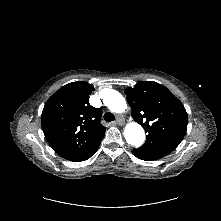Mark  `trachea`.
<instances>
[{"instance_id":"trachea-1","label":"trachea","mask_w":221,"mask_h":221,"mask_svg":"<svg viewBox=\"0 0 221 221\" xmlns=\"http://www.w3.org/2000/svg\"><path fill=\"white\" fill-rule=\"evenodd\" d=\"M103 117L106 122H111L115 119L114 115L111 112L105 113Z\"/></svg>"}]
</instances>
